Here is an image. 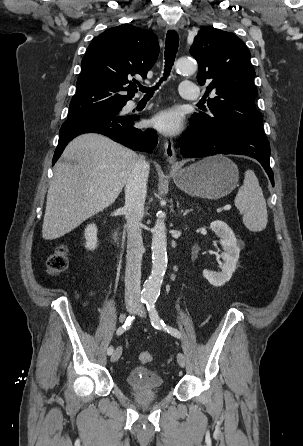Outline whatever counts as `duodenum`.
<instances>
[{
	"label": "duodenum",
	"instance_id": "obj_1",
	"mask_svg": "<svg viewBox=\"0 0 303 446\" xmlns=\"http://www.w3.org/2000/svg\"><path fill=\"white\" fill-rule=\"evenodd\" d=\"M116 239H117V236H116V234H114V236H113V242H115Z\"/></svg>",
	"mask_w": 303,
	"mask_h": 446
}]
</instances>
